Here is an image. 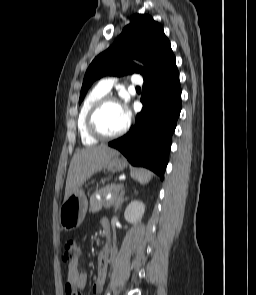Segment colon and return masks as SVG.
<instances>
[{"label":"colon","instance_id":"1","mask_svg":"<svg viewBox=\"0 0 256 295\" xmlns=\"http://www.w3.org/2000/svg\"><path fill=\"white\" fill-rule=\"evenodd\" d=\"M80 254V246L74 239H67L63 244L62 260L70 263L78 258Z\"/></svg>","mask_w":256,"mask_h":295}]
</instances>
